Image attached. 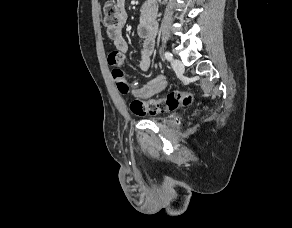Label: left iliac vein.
Returning a JSON list of instances; mask_svg holds the SVG:
<instances>
[{
    "label": "left iliac vein",
    "instance_id": "4c4485c4",
    "mask_svg": "<svg viewBox=\"0 0 292 228\" xmlns=\"http://www.w3.org/2000/svg\"><path fill=\"white\" fill-rule=\"evenodd\" d=\"M171 65L177 74L184 73V65L179 59H173Z\"/></svg>",
    "mask_w": 292,
    "mask_h": 228
}]
</instances>
